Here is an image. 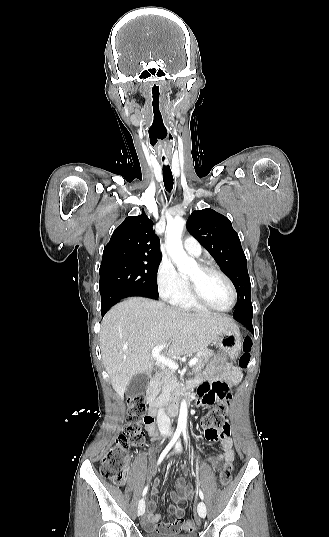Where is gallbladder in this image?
Masks as SVG:
<instances>
[{
    "label": "gallbladder",
    "mask_w": 329,
    "mask_h": 537,
    "mask_svg": "<svg viewBox=\"0 0 329 537\" xmlns=\"http://www.w3.org/2000/svg\"><path fill=\"white\" fill-rule=\"evenodd\" d=\"M149 384L147 373L141 372L132 377L126 390L127 395L134 396L145 393Z\"/></svg>",
    "instance_id": "gallbladder-1"
}]
</instances>
